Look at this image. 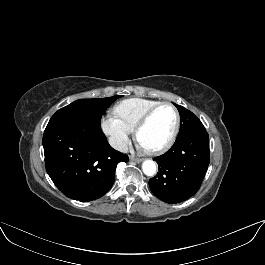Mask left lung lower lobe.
<instances>
[{
	"mask_svg": "<svg viewBox=\"0 0 265 265\" xmlns=\"http://www.w3.org/2000/svg\"><path fill=\"white\" fill-rule=\"evenodd\" d=\"M154 160L159 172L149 180L153 194L171 204L189 199L199 190L210 161L206 129L176 138L171 149Z\"/></svg>",
	"mask_w": 265,
	"mask_h": 265,
	"instance_id": "1",
	"label": "left lung lower lobe"
}]
</instances>
